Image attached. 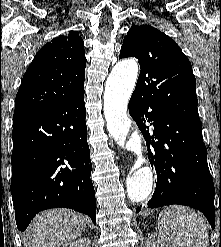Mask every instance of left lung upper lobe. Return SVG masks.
<instances>
[{"mask_svg":"<svg viewBox=\"0 0 221 247\" xmlns=\"http://www.w3.org/2000/svg\"><path fill=\"white\" fill-rule=\"evenodd\" d=\"M126 57L137 58L141 68L134 94L170 114L200 121L192 66L174 40L150 25H133L119 59Z\"/></svg>","mask_w":221,"mask_h":247,"instance_id":"5c2ea615","label":"left lung upper lobe"}]
</instances>
